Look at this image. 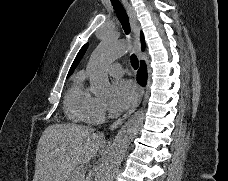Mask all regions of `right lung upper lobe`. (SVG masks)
Wrapping results in <instances>:
<instances>
[{"instance_id":"obj_1","label":"right lung upper lobe","mask_w":228,"mask_h":181,"mask_svg":"<svg viewBox=\"0 0 228 181\" xmlns=\"http://www.w3.org/2000/svg\"><path fill=\"white\" fill-rule=\"evenodd\" d=\"M141 42H142V50H144V48H145V42H144V37H143V34L142 33H141ZM87 47H88V44H85L81 48V50L77 54V56H76V58H75V60H74V62L72 64V66H71V68H70V70L68 72L67 77H69L73 73L74 69L76 68V66L78 65V63L80 62V60L82 59V57H83V55H84Z\"/></svg>"}]
</instances>
